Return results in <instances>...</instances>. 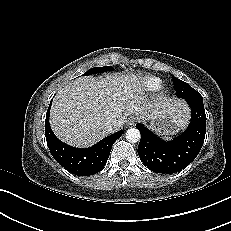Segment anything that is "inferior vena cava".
<instances>
[{"label":"inferior vena cava","instance_id":"1","mask_svg":"<svg viewBox=\"0 0 231 231\" xmlns=\"http://www.w3.org/2000/svg\"><path fill=\"white\" fill-rule=\"evenodd\" d=\"M124 124V121L122 119H113L108 122L107 128L109 131H117L119 130Z\"/></svg>","mask_w":231,"mask_h":231}]
</instances>
